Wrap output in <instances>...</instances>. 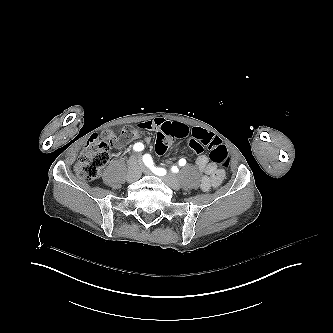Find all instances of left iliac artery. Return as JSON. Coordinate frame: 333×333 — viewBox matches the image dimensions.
Returning <instances> with one entry per match:
<instances>
[{"label":"left iliac artery","mask_w":333,"mask_h":333,"mask_svg":"<svg viewBox=\"0 0 333 333\" xmlns=\"http://www.w3.org/2000/svg\"><path fill=\"white\" fill-rule=\"evenodd\" d=\"M143 161H144L145 165L147 167H149L153 171V173H155L156 175H159V176L165 175V173H166L165 169L154 167L153 160H152V158H151V156L149 154H145L143 156ZM185 164H186V160L185 159H180L179 160V165L180 166H184Z\"/></svg>","instance_id":"44dca946"}]
</instances>
